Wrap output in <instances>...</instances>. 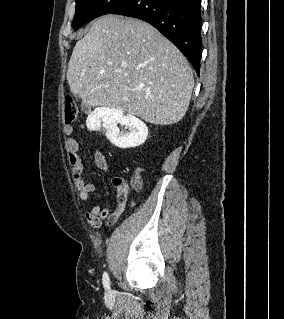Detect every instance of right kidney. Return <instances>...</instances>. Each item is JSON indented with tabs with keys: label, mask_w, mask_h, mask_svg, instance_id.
<instances>
[{
	"label": "right kidney",
	"mask_w": 284,
	"mask_h": 319,
	"mask_svg": "<svg viewBox=\"0 0 284 319\" xmlns=\"http://www.w3.org/2000/svg\"><path fill=\"white\" fill-rule=\"evenodd\" d=\"M118 124L124 126L126 130L120 131ZM86 125L93 131L98 130L102 125L109 141L122 149L142 145L148 136V128L143 121L115 108H96L88 115Z\"/></svg>",
	"instance_id": "obj_1"
}]
</instances>
